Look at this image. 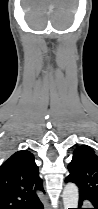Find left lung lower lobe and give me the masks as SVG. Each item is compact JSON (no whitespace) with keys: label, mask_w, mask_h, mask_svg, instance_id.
Here are the masks:
<instances>
[{"label":"left lung lower lobe","mask_w":98,"mask_h":209,"mask_svg":"<svg viewBox=\"0 0 98 209\" xmlns=\"http://www.w3.org/2000/svg\"><path fill=\"white\" fill-rule=\"evenodd\" d=\"M84 200H86V199L79 198V209H82L81 206H82ZM92 205H93V208L92 209H98V205H95L94 203H92Z\"/></svg>","instance_id":"left-lung-lower-lobe-1"}]
</instances>
